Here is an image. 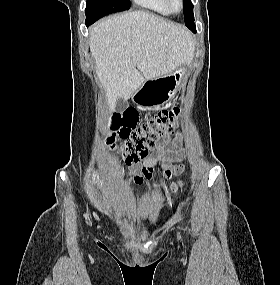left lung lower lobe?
<instances>
[{"label": "left lung lower lobe", "instance_id": "1", "mask_svg": "<svg viewBox=\"0 0 280 285\" xmlns=\"http://www.w3.org/2000/svg\"><path fill=\"white\" fill-rule=\"evenodd\" d=\"M191 30H192L193 32H195V31H196L195 27H192V28H191Z\"/></svg>", "mask_w": 280, "mask_h": 285}]
</instances>
